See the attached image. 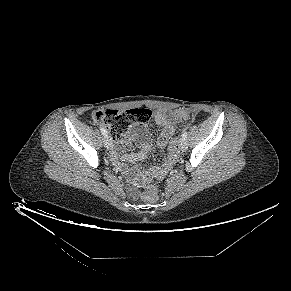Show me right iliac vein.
Returning a JSON list of instances; mask_svg holds the SVG:
<instances>
[{
  "label": "right iliac vein",
  "instance_id": "1",
  "mask_svg": "<svg viewBox=\"0 0 291 291\" xmlns=\"http://www.w3.org/2000/svg\"><path fill=\"white\" fill-rule=\"evenodd\" d=\"M104 146L107 149H112L113 148V142L111 141V139L109 137H105V139H104Z\"/></svg>",
  "mask_w": 291,
  "mask_h": 291
}]
</instances>
